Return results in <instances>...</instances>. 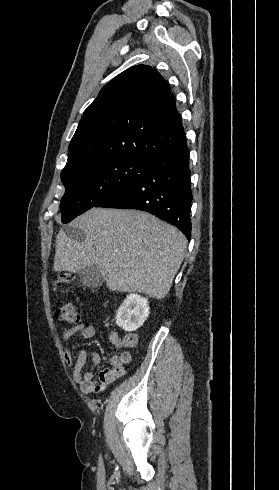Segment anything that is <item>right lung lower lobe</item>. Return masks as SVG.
Masks as SVG:
<instances>
[{
  "mask_svg": "<svg viewBox=\"0 0 279 490\" xmlns=\"http://www.w3.org/2000/svg\"><path fill=\"white\" fill-rule=\"evenodd\" d=\"M192 199L185 141L156 157L140 178L107 195L95 207L149 212L176 226L190 240Z\"/></svg>",
  "mask_w": 279,
  "mask_h": 490,
  "instance_id": "obj_1",
  "label": "right lung lower lobe"
}]
</instances>
